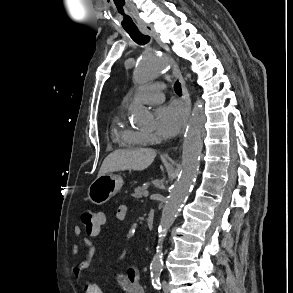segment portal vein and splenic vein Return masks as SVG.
<instances>
[{
  "label": "portal vein and splenic vein",
  "mask_w": 293,
  "mask_h": 293,
  "mask_svg": "<svg viewBox=\"0 0 293 293\" xmlns=\"http://www.w3.org/2000/svg\"><path fill=\"white\" fill-rule=\"evenodd\" d=\"M148 195H149V191H147V190L144 191L143 196H144V197H148Z\"/></svg>",
  "instance_id": "obj_1"
}]
</instances>
